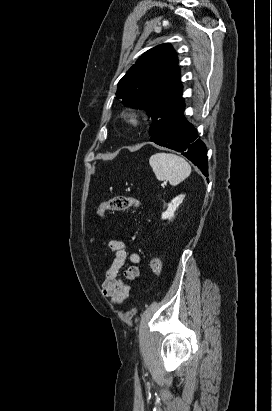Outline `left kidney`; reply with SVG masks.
<instances>
[{
  "instance_id": "1",
  "label": "left kidney",
  "mask_w": 272,
  "mask_h": 411,
  "mask_svg": "<svg viewBox=\"0 0 272 411\" xmlns=\"http://www.w3.org/2000/svg\"><path fill=\"white\" fill-rule=\"evenodd\" d=\"M184 195H179L175 197L167 206V210L162 213V219H172L174 217V213L179 205L183 202Z\"/></svg>"
}]
</instances>
